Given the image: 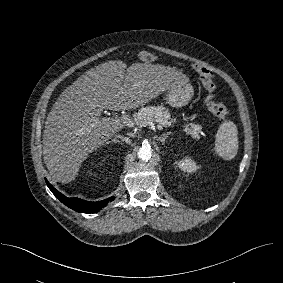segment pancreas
<instances>
[{
    "instance_id": "cf45deb5",
    "label": "pancreas",
    "mask_w": 283,
    "mask_h": 283,
    "mask_svg": "<svg viewBox=\"0 0 283 283\" xmlns=\"http://www.w3.org/2000/svg\"><path fill=\"white\" fill-rule=\"evenodd\" d=\"M137 121L139 125L144 126L149 121H154L163 127L173 126L176 118L172 117L170 111L163 105L142 107L137 113ZM187 135H191L194 139H199L202 128L199 124L188 123L183 126Z\"/></svg>"
}]
</instances>
